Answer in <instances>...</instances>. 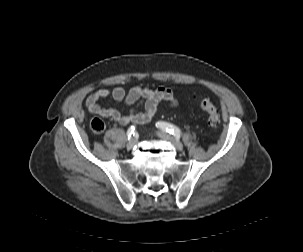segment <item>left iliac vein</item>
<instances>
[{
    "instance_id": "1",
    "label": "left iliac vein",
    "mask_w": 303,
    "mask_h": 252,
    "mask_svg": "<svg viewBox=\"0 0 303 252\" xmlns=\"http://www.w3.org/2000/svg\"><path fill=\"white\" fill-rule=\"evenodd\" d=\"M158 135H159L160 138H162L164 140H167V141H170L171 144L173 145V147L176 150H178V151H182L183 150L182 143L179 140H177V139L173 138L172 136H170L169 134H167L165 131H160L158 133Z\"/></svg>"
}]
</instances>
